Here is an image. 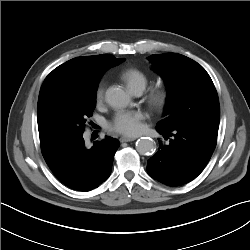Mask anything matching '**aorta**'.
I'll return each instance as SVG.
<instances>
[{
  "instance_id": "762f6f07",
  "label": "aorta",
  "mask_w": 250,
  "mask_h": 250,
  "mask_svg": "<svg viewBox=\"0 0 250 250\" xmlns=\"http://www.w3.org/2000/svg\"><path fill=\"white\" fill-rule=\"evenodd\" d=\"M106 102L113 108L123 109L130 103L129 95L120 87H109L105 93ZM156 149L155 142L149 137H141L136 142V150L141 155H151Z\"/></svg>"
}]
</instances>
